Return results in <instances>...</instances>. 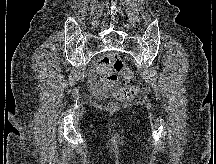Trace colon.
I'll use <instances>...</instances> for the list:
<instances>
[{"mask_svg": "<svg viewBox=\"0 0 216 164\" xmlns=\"http://www.w3.org/2000/svg\"><path fill=\"white\" fill-rule=\"evenodd\" d=\"M97 68L118 100L129 102L137 96L138 88L133 85V73L119 55L110 53L103 56Z\"/></svg>", "mask_w": 216, "mask_h": 164, "instance_id": "5ec220e1", "label": "colon"}]
</instances>
